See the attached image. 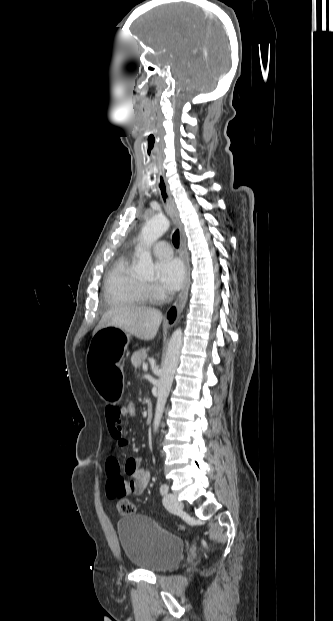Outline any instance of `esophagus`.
Wrapping results in <instances>:
<instances>
[{"instance_id":"34e87169","label":"esophagus","mask_w":333,"mask_h":621,"mask_svg":"<svg viewBox=\"0 0 333 621\" xmlns=\"http://www.w3.org/2000/svg\"><path fill=\"white\" fill-rule=\"evenodd\" d=\"M157 189H158L159 195L161 197V200L165 206L167 213L169 214L173 222L176 224L180 232V252H181L182 259L185 263V270H186L184 288L182 292L180 293L177 302L169 308L166 314L165 324L168 326H172L177 322L181 312L183 311L185 307V304L188 298V291H189V286H190V264H189V256H188L187 247H186V237H185V233L183 230V225L180 221L179 212L174 204L168 185L162 173H159L157 175Z\"/></svg>"}]
</instances>
